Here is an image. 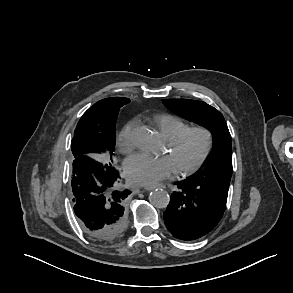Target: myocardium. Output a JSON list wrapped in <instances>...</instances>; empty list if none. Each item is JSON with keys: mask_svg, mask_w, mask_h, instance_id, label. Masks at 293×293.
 <instances>
[{"mask_svg": "<svg viewBox=\"0 0 293 293\" xmlns=\"http://www.w3.org/2000/svg\"><path fill=\"white\" fill-rule=\"evenodd\" d=\"M193 133H198L203 137L202 149L199 155L197 156V158L191 164L177 170V173L179 175L186 176L197 171L201 167V165L204 163V161L206 160V158L208 157L212 149V145H213L212 132L208 128L198 125V126L187 127L186 129L178 133L173 138L167 140V146L169 150L173 151L176 148H178L182 144V142L189 135Z\"/></svg>", "mask_w": 293, "mask_h": 293, "instance_id": "1", "label": "myocardium"}]
</instances>
